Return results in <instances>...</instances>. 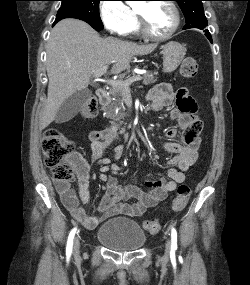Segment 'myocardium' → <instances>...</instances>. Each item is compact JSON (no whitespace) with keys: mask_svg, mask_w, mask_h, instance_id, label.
I'll use <instances>...</instances> for the list:
<instances>
[{"mask_svg":"<svg viewBox=\"0 0 250 285\" xmlns=\"http://www.w3.org/2000/svg\"><path fill=\"white\" fill-rule=\"evenodd\" d=\"M162 3L167 4L174 13V24L170 31L165 35H155L151 33V31L148 29L146 19L142 12H140L138 9L135 10L137 19H138V26L140 33L147 39H150L152 41H166L173 37V35L177 32V30L180 27L181 23V15L180 11L177 7V5L172 0H164Z\"/></svg>","mask_w":250,"mask_h":285,"instance_id":"obj_1","label":"myocardium"}]
</instances>
